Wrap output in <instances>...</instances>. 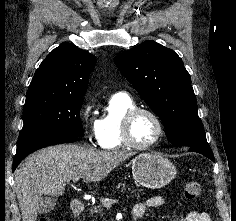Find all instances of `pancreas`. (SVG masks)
<instances>
[{
	"mask_svg": "<svg viewBox=\"0 0 236 221\" xmlns=\"http://www.w3.org/2000/svg\"><path fill=\"white\" fill-rule=\"evenodd\" d=\"M125 188H123L122 190H124ZM130 190V189H128ZM136 191H133V193H135ZM136 197H139V193H135ZM103 215V209H102V205H97V206H93L92 209L90 210V216L92 218V221H97L98 216H102ZM100 221V220H99Z\"/></svg>",
	"mask_w": 236,
	"mask_h": 221,
	"instance_id": "1",
	"label": "pancreas"
}]
</instances>
